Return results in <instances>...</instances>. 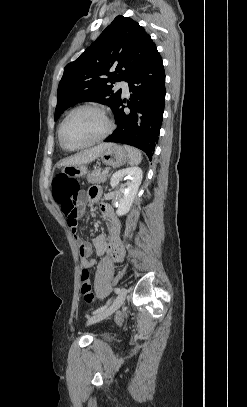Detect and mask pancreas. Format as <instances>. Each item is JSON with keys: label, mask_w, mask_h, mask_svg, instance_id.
<instances>
[{"label": "pancreas", "mask_w": 247, "mask_h": 407, "mask_svg": "<svg viewBox=\"0 0 247 407\" xmlns=\"http://www.w3.org/2000/svg\"><path fill=\"white\" fill-rule=\"evenodd\" d=\"M107 176V174H103V170L101 168H96L87 175V181L89 183H103L107 180Z\"/></svg>", "instance_id": "obj_1"}]
</instances>
